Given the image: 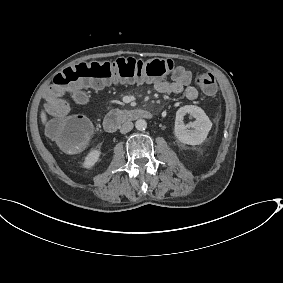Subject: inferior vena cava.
Masks as SVG:
<instances>
[{"label":"inferior vena cava","mask_w":283,"mask_h":283,"mask_svg":"<svg viewBox=\"0 0 283 283\" xmlns=\"http://www.w3.org/2000/svg\"><path fill=\"white\" fill-rule=\"evenodd\" d=\"M133 123L130 121H126L122 124V126L120 127V132L121 133H127L129 131H131L133 129Z\"/></svg>","instance_id":"inferior-vena-cava-1"}]
</instances>
